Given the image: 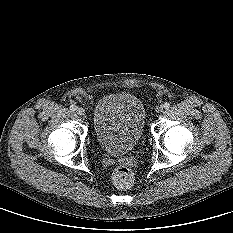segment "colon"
Here are the masks:
<instances>
[{
	"label": "colon",
	"mask_w": 233,
	"mask_h": 233,
	"mask_svg": "<svg viewBox=\"0 0 233 233\" xmlns=\"http://www.w3.org/2000/svg\"><path fill=\"white\" fill-rule=\"evenodd\" d=\"M133 181V173L129 168L119 166L114 170L113 182L118 188L127 189L133 184Z\"/></svg>",
	"instance_id": "1"
}]
</instances>
